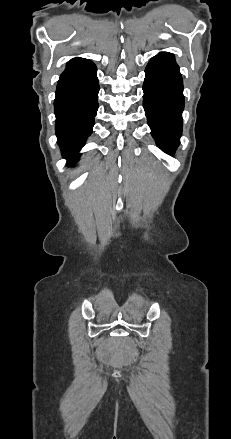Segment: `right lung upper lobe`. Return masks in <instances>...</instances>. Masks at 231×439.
<instances>
[{"label":"right lung upper lobe","mask_w":231,"mask_h":439,"mask_svg":"<svg viewBox=\"0 0 231 439\" xmlns=\"http://www.w3.org/2000/svg\"><path fill=\"white\" fill-rule=\"evenodd\" d=\"M80 59H82V58H74V59H71V60L67 63V65H70V64H72V63H74V62H76V61H78V60H80Z\"/></svg>","instance_id":"1"}]
</instances>
